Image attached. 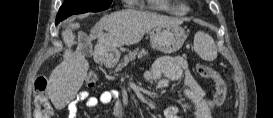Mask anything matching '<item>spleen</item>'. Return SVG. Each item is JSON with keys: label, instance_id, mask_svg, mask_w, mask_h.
Wrapping results in <instances>:
<instances>
[{"label": "spleen", "instance_id": "1", "mask_svg": "<svg viewBox=\"0 0 273 118\" xmlns=\"http://www.w3.org/2000/svg\"><path fill=\"white\" fill-rule=\"evenodd\" d=\"M194 50L199 57L206 61L217 58V49L213 38L205 32L199 31L194 36Z\"/></svg>", "mask_w": 273, "mask_h": 118}]
</instances>
